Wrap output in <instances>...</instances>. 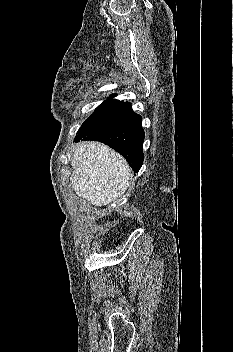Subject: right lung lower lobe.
Segmentation results:
<instances>
[{"label":"right lung lower lobe","mask_w":233,"mask_h":352,"mask_svg":"<svg viewBox=\"0 0 233 352\" xmlns=\"http://www.w3.org/2000/svg\"><path fill=\"white\" fill-rule=\"evenodd\" d=\"M141 120V116L132 111L131 103L122 102L80 129L74 141H100L108 145L119 152L137 173L144 160Z\"/></svg>","instance_id":"1"}]
</instances>
